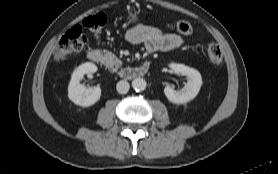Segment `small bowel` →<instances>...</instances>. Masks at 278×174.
I'll list each match as a JSON object with an SVG mask.
<instances>
[{
	"label": "small bowel",
	"mask_w": 278,
	"mask_h": 174,
	"mask_svg": "<svg viewBox=\"0 0 278 174\" xmlns=\"http://www.w3.org/2000/svg\"><path fill=\"white\" fill-rule=\"evenodd\" d=\"M126 39L132 44H142L149 52L171 51L184 44L181 36L175 33H165L158 28L138 25L126 33Z\"/></svg>",
	"instance_id": "small-bowel-1"
}]
</instances>
